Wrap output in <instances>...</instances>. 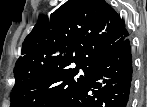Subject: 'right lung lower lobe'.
<instances>
[{
  "instance_id": "1",
  "label": "right lung lower lobe",
  "mask_w": 147,
  "mask_h": 107,
  "mask_svg": "<svg viewBox=\"0 0 147 107\" xmlns=\"http://www.w3.org/2000/svg\"><path fill=\"white\" fill-rule=\"evenodd\" d=\"M132 74L131 45L127 37L78 90L56 107H129Z\"/></svg>"
}]
</instances>
